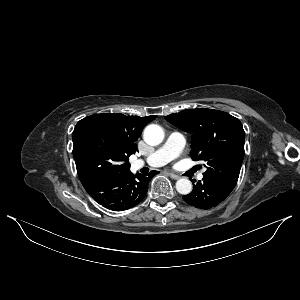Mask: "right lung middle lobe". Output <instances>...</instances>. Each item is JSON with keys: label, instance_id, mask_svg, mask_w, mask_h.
<instances>
[{"label": "right lung middle lobe", "instance_id": "1", "mask_svg": "<svg viewBox=\"0 0 300 300\" xmlns=\"http://www.w3.org/2000/svg\"><path fill=\"white\" fill-rule=\"evenodd\" d=\"M72 139L73 157L82 183L130 171L129 157L97 121L88 117L80 120Z\"/></svg>", "mask_w": 300, "mask_h": 300}]
</instances>
